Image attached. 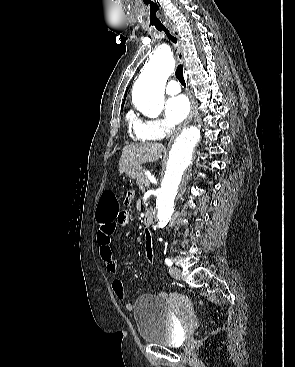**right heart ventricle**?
I'll use <instances>...</instances> for the list:
<instances>
[{"mask_svg":"<svg viewBox=\"0 0 295 367\" xmlns=\"http://www.w3.org/2000/svg\"><path fill=\"white\" fill-rule=\"evenodd\" d=\"M126 121L128 123L129 128L132 130L134 137L137 140L140 141H146V140H150L148 137H146L142 130H141V126H142V120L139 119L134 112L129 111L126 115Z\"/></svg>","mask_w":295,"mask_h":367,"instance_id":"obj_1","label":"right heart ventricle"}]
</instances>
